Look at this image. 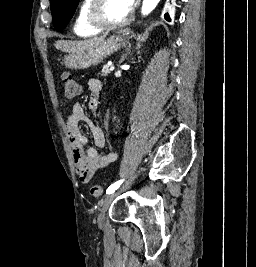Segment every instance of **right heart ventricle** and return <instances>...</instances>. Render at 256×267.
Listing matches in <instances>:
<instances>
[{"instance_id":"e07e8e85","label":"right heart ventricle","mask_w":256,"mask_h":267,"mask_svg":"<svg viewBox=\"0 0 256 267\" xmlns=\"http://www.w3.org/2000/svg\"><path fill=\"white\" fill-rule=\"evenodd\" d=\"M88 4L81 10L74 26L73 32L76 36H99L102 31L95 29L88 20V13L93 0H87Z\"/></svg>"}]
</instances>
